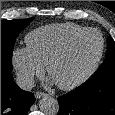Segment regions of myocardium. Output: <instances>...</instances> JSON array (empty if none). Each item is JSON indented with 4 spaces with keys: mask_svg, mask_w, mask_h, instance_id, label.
<instances>
[{
    "mask_svg": "<svg viewBox=\"0 0 115 115\" xmlns=\"http://www.w3.org/2000/svg\"><path fill=\"white\" fill-rule=\"evenodd\" d=\"M88 33H96L100 38V50H99V53H98L96 59L92 63V65L80 76H78L77 78H75L69 82L60 83V82L54 81L53 77H52V73H53L55 66L58 63H60L67 56V54L70 52L71 48L76 43V41ZM104 50H105V41H104V37L101 34V32L95 28H86V29L74 34L73 36H71L62 45V47L50 58V60L48 61L47 65H46L48 76L56 83V85L59 88H61L63 90L75 89V88L79 87L80 85H82L83 83H85L96 72V70L98 69L100 62L102 60V57L104 55Z\"/></svg>",
    "mask_w": 115,
    "mask_h": 115,
    "instance_id": "f54148a6",
    "label": "myocardium"
}]
</instances>
